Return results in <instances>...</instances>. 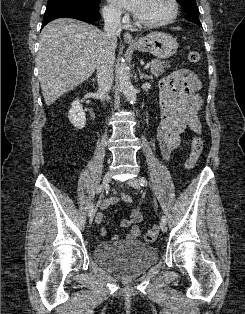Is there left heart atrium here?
<instances>
[{
    "instance_id": "obj_1",
    "label": "left heart atrium",
    "mask_w": 245,
    "mask_h": 314,
    "mask_svg": "<svg viewBox=\"0 0 245 314\" xmlns=\"http://www.w3.org/2000/svg\"><path fill=\"white\" fill-rule=\"evenodd\" d=\"M110 2L117 8L137 13L143 0H110Z\"/></svg>"
}]
</instances>
